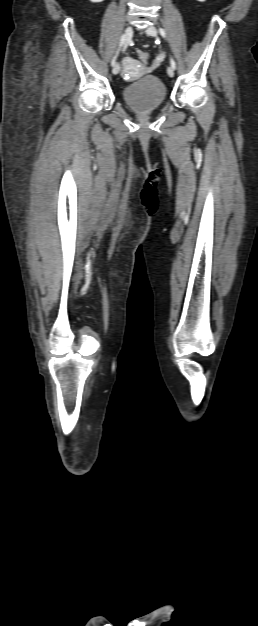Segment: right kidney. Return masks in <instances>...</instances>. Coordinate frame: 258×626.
<instances>
[{
    "label": "right kidney",
    "mask_w": 258,
    "mask_h": 626,
    "mask_svg": "<svg viewBox=\"0 0 258 626\" xmlns=\"http://www.w3.org/2000/svg\"><path fill=\"white\" fill-rule=\"evenodd\" d=\"M91 2L97 3V2H102L103 0H90Z\"/></svg>",
    "instance_id": "obj_1"
}]
</instances>
